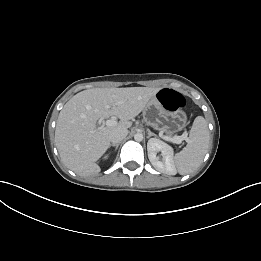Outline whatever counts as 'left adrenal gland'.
Returning a JSON list of instances; mask_svg holds the SVG:
<instances>
[{
  "mask_svg": "<svg viewBox=\"0 0 261 261\" xmlns=\"http://www.w3.org/2000/svg\"><path fill=\"white\" fill-rule=\"evenodd\" d=\"M148 132V138H150L151 136H156L154 133H152L149 129H147Z\"/></svg>",
  "mask_w": 261,
  "mask_h": 261,
  "instance_id": "obj_1",
  "label": "left adrenal gland"
}]
</instances>
